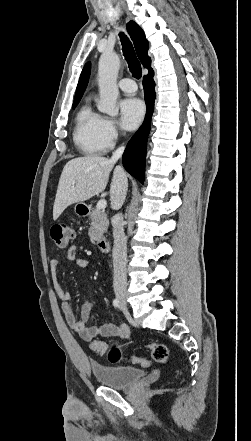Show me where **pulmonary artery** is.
Listing matches in <instances>:
<instances>
[{"label": "pulmonary artery", "mask_w": 251, "mask_h": 441, "mask_svg": "<svg viewBox=\"0 0 251 441\" xmlns=\"http://www.w3.org/2000/svg\"><path fill=\"white\" fill-rule=\"evenodd\" d=\"M118 85L120 89L126 93H134L137 90L135 82L130 78L121 79Z\"/></svg>", "instance_id": "pulmonary-artery-1"}]
</instances>
